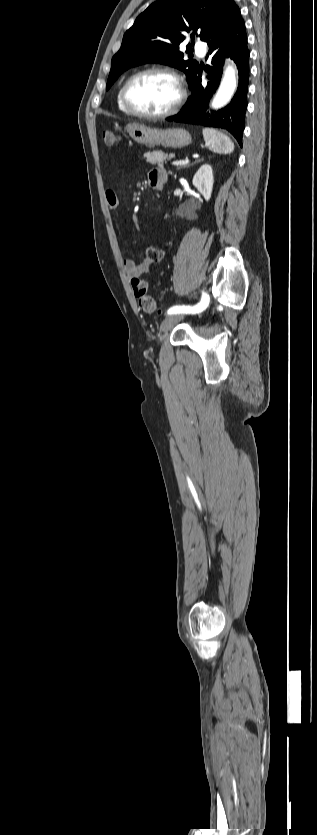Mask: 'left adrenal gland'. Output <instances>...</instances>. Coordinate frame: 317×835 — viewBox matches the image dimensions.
I'll list each match as a JSON object with an SVG mask.
<instances>
[{
  "label": "left adrenal gland",
  "mask_w": 317,
  "mask_h": 835,
  "mask_svg": "<svg viewBox=\"0 0 317 835\" xmlns=\"http://www.w3.org/2000/svg\"><path fill=\"white\" fill-rule=\"evenodd\" d=\"M200 161H201V160H196L195 162H193V163H191V164H188V165H187V167L192 166V165H194V164H196L197 162H200Z\"/></svg>",
  "instance_id": "1"
}]
</instances>
